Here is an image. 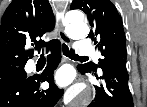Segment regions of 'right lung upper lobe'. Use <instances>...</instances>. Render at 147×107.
Listing matches in <instances>:
<instances>
[{
    "instance_id": "obj_1",
    "label": "right lung upper lobe",
    "mask_w": 147,
    "mask_h": 107,
    "mask_svg": "<svg viewBox=\"0 0 147 107\" xmlns=\"http://www.w3.org/2000/svg\"><path fill=\"white\" fill-rule=\"evenodd\" d=\"M55 27V18L48 0H12L7 7L0 26V69L25 66L33 57V50H26L30 42L40 51L49 43L37 41Z\"/></svg>"
}]
</instances>
